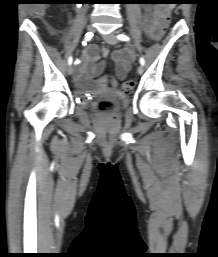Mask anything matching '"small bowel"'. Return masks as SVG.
I'll list each match as a JSON object with an SVG mask.
<instances>
[{"label":"small bowel","mask_w":218,"mask_h":257,"mask_svg":"<svg viewBox=\"0 0 218 257\" xmlns=\"http://www.w3.org/2000/svg\"><path fill=\"white\" fill-rule=\"evenodd\" d=\"M167 11L162 8L157 7H147L145 8L144 18H143V29L145 33L154 38V30H158L156 25L158 21H165V15ZM112 59L116 64V76L119 80H124L130 70L131 62L133 60L132 51L127 48L121 51H115L112 54ZM100 60V50L99 47L91 43L87 45L82 51L81 59L78 61V67L76 70V80L80 85L87 84L94 91L95 84L91 83L92 79H96V74L102 73L105 64L99 62Z\"/></svg>","instance_id":"obj_1"}]
</instances>
